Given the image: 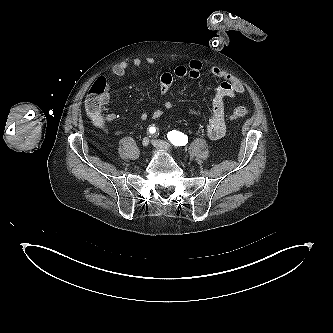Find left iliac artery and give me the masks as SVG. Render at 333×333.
Returning a JSON list of instances; mask_svg holds the SVG:
<instances>
[{
  "label": "left iliac artery",
  "instance_id": "44dca946",
  "mask_svg": "<svg viewBox=\"0 0 333 333\" xmlns=\"http://www.w3.org/2000/svg\"><path fill=\"white\" fill-rule=\"evenodd\" d=\"M167 138L175 146H184L188 143L187 135L176 130L168 132Z\"/></svg>",
  "mask_w": 333,
  "mask_h": 333
}]
</instances>
